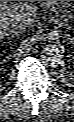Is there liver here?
<instances>
[{
  "instance_id": "6515ba94",
  "label": "liver",
  "mask_w": 74,
  "mask_h": 122,
  "mask_svg": "<svg viewBox=\"0 0 74 122\" xmlns=\"http://www.w3.org/2000/svg\"><path fill=\"white\" fill-rule=\"evenodd\" d=\"M33 2V1H30ZM15 15H23L28 19L29 26H32L36 18V8L25 2H15L11 5L1 4L0 8V36L5 35V31L10 25V19Z\"/></svg>"
}]
</instances>
